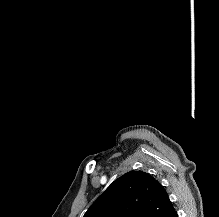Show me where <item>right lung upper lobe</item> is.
Returning a JSON list of instances; mask_svg holds the SVG:
<instances>
[{
	"label": "right lung upper lobe",
	"instance_id": "1",
	"mask_svg": "<svg viewBox=\"0 0 219 217\" xmlns=\"http://www.w3.org/2000/svg\"><path fill=\"white\" fill-rule=\"evenodd\" d=\"M174 210L164 187L143 171L116 179L83 217H167Z\"/></svg>",
	"mask_w": 219,
	"mask_h": 217
}]
</instances>
